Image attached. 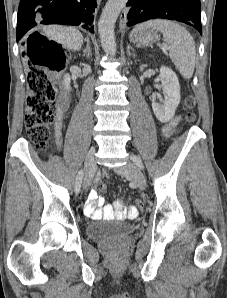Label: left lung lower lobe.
<instances>
[{
	"mask_svg": "<svg viewBox=\"0 0 227 298\" xmlns=\"http://www.w3.org/2000/svg\"><path fill=\"white\" fill-rule=\"evenodd\" d=\"M122 18L128 26L150 19H169L186 23L202 34L200 0H128Z\"/></svg>",
	"mask_w": 227,
	"mask_h": 298,
	"instance_id": "0a47b994",
	"label": "left lung lower lobe"
}]
</instances>
